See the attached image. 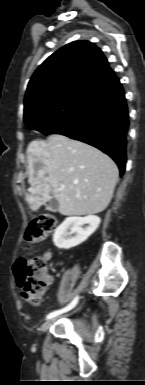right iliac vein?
<instances>
[{
	"instance_id": "1",
	"label": "right iliac vein",
	"mask_w": 145,
	"mask_h": 385,
	"mask_svg": "<svg viewBox=\"0 0 145 385\" xmlns=\"http://www.w3.org/2000/svg\"><path fill=\"white\" fill-rule=\"evenodd\" d=\"M54 319L47 320L43 325H42V331L45 332L48 330V328L53 324Z\"/></svg>"
}]
</instances>
